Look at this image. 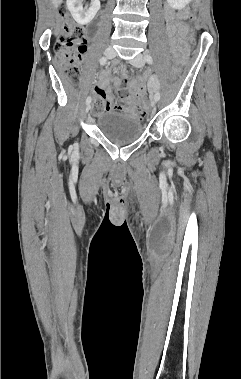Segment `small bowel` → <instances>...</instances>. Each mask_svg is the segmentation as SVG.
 <instances>
[{
	"label": "small bowel",
	"instance_id": "obj_1",
	"mask_svg": "<svg viewBox=\"0 0 241 379\" xmlns=\"http://www.w3.org/2000/svg\"><path fill=\"white\" fill-rule=\"evenodd\" d=\"M168 22V31L172 36L182 35L186 31V24L182 14H175L171 9L166 10ZM174 52L176 57H181L184 53V48L179 40H175ZM111 81L119 89L125 91L122 96V104L119 106L113 105V95L110 88ZM123 80L121 78L111 79L106 71L102 72L99 79L94 83V91L97 96L104 98L111 109H121L122 111L133 115V120L136 123L143 121L144 117L149 116L148 110H141L142 98L141 93L144 92V84L141 79L132 80L128 83L127 88L122 87Z\"/></svg>",
	"mask_w": 241,
	"mask_h": 379
}]
</instances>
